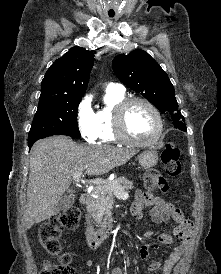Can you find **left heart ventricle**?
I'll use <instances>...</instances> for the list:
<instances>
[{
  "label": "left heart ventricle",
  "instance_id": "obj_1",
  "mask_svg": "<svg viewBox=\"0 0 221 274\" xmlns=\"http://www.w3.org/2000/svg\"><path fill=\"white\" fill-rule=\"evenodd\" d=\"M125 128L132 138L146 141L154 136L157 123L153 113L147 106L142 103H134L127 110Z\"/></svg>",
  "mask_w": 221,
  "mask_h": 274
}]
</instances>
